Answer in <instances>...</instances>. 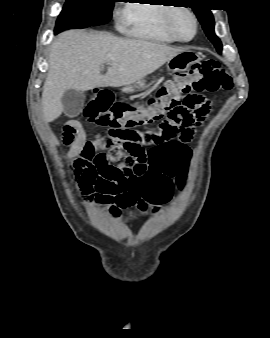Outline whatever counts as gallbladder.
Segmentation results:
<instances>
[{
  "instance_id": "bac80fb5",
  "label": "gallbladder",
  "mask_w": 270,
  "mask_h": 338,
  "mask_svg": "<svg viewBox=\"0 0 270 338\" xmlns=\"http://www.w3.org/2000/svg\"><path fill=\"white\" fill-rule=\"evenodd\" d=\"M61 101L66 116L76 117L84 107L85 94L82 91L69 89L64 92Z\"/></svg>"
}]
</instances>
